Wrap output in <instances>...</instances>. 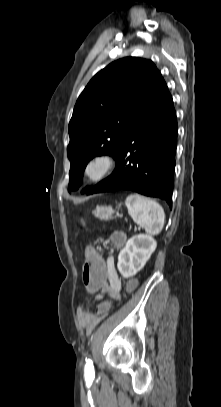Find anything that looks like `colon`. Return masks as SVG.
Returning <instances> with one entry per match:
<instances>
[{
  "instance_id": "1",
  "label": "colon",
  "mask_w": 221,
  "mask_h": 407,
  "mask_svg": "<svg viewBox=\"0 0 221 407\" xmlns=\"http://www.w3.org/2000/svg\"><path fill=\"white\" fill-rule=\"evenodd\" d=\"M112 242L116 246H121L124 242V236L121 233H115L112 236ZM84 271H82L83 289L84 292H103L104 286L108 285L109 270L106 265V259L102 258L101 252H96L93 246L87 245L85 248ZM137 278L132 276L130 281L126 283L127 291H136L138 285ZM116 301L119 295H111L108 300H102L97 306L98 316L104 317L110 312V301Z\"/></svg>"
}]
</instances>
